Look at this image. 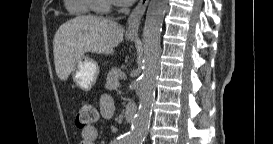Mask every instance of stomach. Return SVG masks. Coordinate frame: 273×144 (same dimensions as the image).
Wrapping results in <instances>:
<instances>
[{"label": "stomach", "instance_id": "1", "mask_svg": "<svg viewBox=\"0 0 273 144\" xmlns=\"http://www.w3.org/2000/svg\"><path fill=\"white\" fill-rule=\"evenodd\" d=\"M135 38L130 37L133 41ZM71 75L75 84L84 91H89L96 83L99 75V66L95 60L83 55L74 65Z\"/></svg>", "mask_w": 273, "mask_h": 144}]
</instances>
